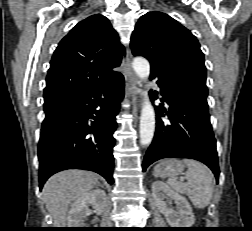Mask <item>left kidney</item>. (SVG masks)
<instances>
[{
	"label": "left kidney",
	"instance_id": "1",
	"mask_svg": "<svg viewBox=\"0 0 252 231\" xmlns=\"http://www.w3.org/2000/svg\"><path fill=\"white\" fill-rule=\"evenodd\" d=\"M152 195L159 211L164 214L172 228H190L194 224L195 217L187 199L170 189L165 183L154 182ZM172 201L176 204L175 209L169 206Z\"/></svg>",
	"mask_w": 252,
	"mask_h": 231
}]
</instances>
